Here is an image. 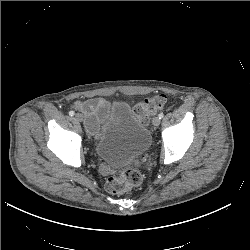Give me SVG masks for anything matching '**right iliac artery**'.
Segmentation results:
<instances>
[{"mask_svg": "<svg viewBox=\"0 0 250 250\" xmlns=\"http://www.w3.org/2000/svg\"><path fill=\"white\" fill-rule=\"evenodd\" d=\"M74 114H75L74 111H70V112H69V115H70V116H74Z\"/></svg>", "mask_w": 250, "mask_h": 250, "instance_id": "right-iliac-artery-1", "label": "right iliac artery"}]
</instances>
